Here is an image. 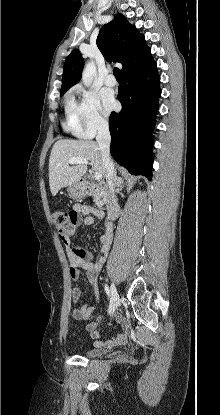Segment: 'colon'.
<instances>
[{
	"label": "colon",
	"instance_id": "obj_1",
	"mask_svg": "<svg viewBox=\"0 0 220 415\" xmlns=\"http://www.w3.org/2000/svg\"><path fill=\"white\" fill-rule=\"evenodd\" d=\"M75 219V215L66 210H56L53 212V222L58 230V233H63L68 229L71 221Z\"/></svg>",
	"mask_w": 220,
	"mask_h": 415
}]
</instances>
